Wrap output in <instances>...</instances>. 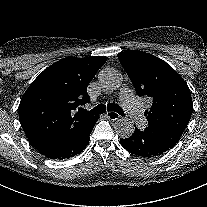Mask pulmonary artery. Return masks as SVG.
<instances>
[{
	"label": "pulmonary artery",
	"mask_w": 207,
	"mask_h": 207,
	"mask_svg": "<svg viewBox=\"0 0 207 207\" xmlns=\"http://www.w3.org/2000/svg\"><path fill=\"white\" fill-rule=\"evenodd\" d=\"M120 98L125 103L131 121L134 124H141L144 121V114L134 92L130 88H123L120 91Z\"/></svg>",
	"instance_id": "obj_1"
}]
</instances>
